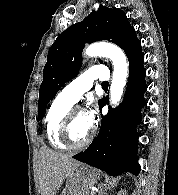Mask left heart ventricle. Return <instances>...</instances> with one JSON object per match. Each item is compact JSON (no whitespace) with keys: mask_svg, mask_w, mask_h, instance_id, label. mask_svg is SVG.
<instances>
[{"mask_svg":"<svg viewBox=\"0 0 178 195\" xmlns=\"http://www.w3.org/2000/svg\"><path fill=\"white\" fill-rule=\"evenodd\" d=\"M91 131L92 126L88 124L85 113H77L70 128L71 141L74 144H80L89 137Z\"/></svg>","mask_w":178,"mask_h":195,"instance_id":"1","label":"left heart ventricle"}]
</instances>
